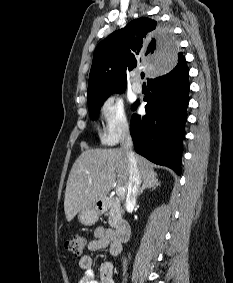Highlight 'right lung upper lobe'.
Wrapping results in <instances>:
<instances>
[{"mask_svg":"<svg viewBox=\"0 0 233 283\" xmlns=\"http://www.w3.org/2000/svg\"><path fill=\"white\" fill-rule=\"evenodd\" d=\"M183 54L187 49H179L168 27L150 18L131 21L97 45L89 75L88 106L122 92L127 71L172 70L175 59L180 60Z\"/></svg>","mask_w":233,"mask_h":283,"instance_id":"cb5924a9","label":"right lung upper lobe"}]
</instances>
